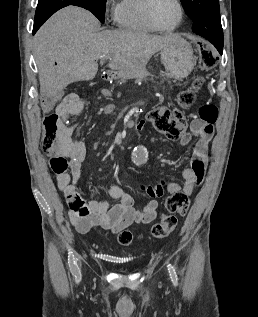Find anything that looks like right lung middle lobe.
<instances>
[{"mask_svg": "<svg viewBox=\"0 0 258 317\" xmlns=\"http://www.w3.org/2000/svg\"><path fill=\"white\" fill-rule=\"evenodd\" d=\"M91 12L104 23V13L106 9V0H89Z\"/></svg>", "mask_w": 258, "mask_h": 317, "instance_id": "dd1d6c3e", "label": "right lung middle lobe"}]
</instances>
